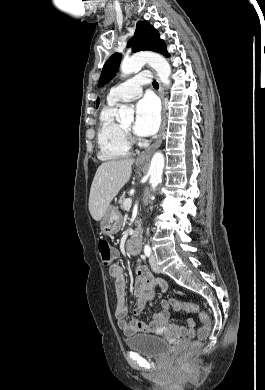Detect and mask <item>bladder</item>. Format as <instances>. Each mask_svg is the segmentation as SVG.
Listing matches in <instances>:
<instances>
[{"label":"bladder","mask_w":265,"mask_h":390,"mask_svg":"<svg viewBox=\"0 0 265 390\" xmlns=\"http://www.w3.org/2000/svg\"><path fill=\"white\" fill-rule=\"evenodd\" d=\"M129 349L145 357L159 359L171 350V346L161 337L148 334H138L126 340Z\"/></svg>","instance_id":"bladder-1"}]
</instances>
